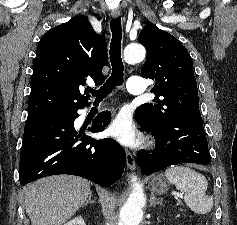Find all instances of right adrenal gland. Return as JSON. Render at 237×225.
I'll return each mask as SVG.
<instances>
[{
	"mask_svg": "<svg viewBox=\"0 0 237 225\" xmlns=\"http://www.w3.org/2000/svg\"><path fill=\"white\" fill-rule=\"evenodd\" d=\"M90 203H91V204H94V203H95V200H92V192H90L87 201L82 205V207H85V206H87V205L90 204Z\"/></svg>",
	"mask_w": 237,
	"mask_h": 225,
	"instance_id": "right-adrenal-gland-1",
	"label": "right adrenal gland"
}]
</instances>
